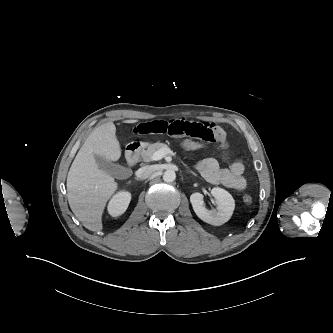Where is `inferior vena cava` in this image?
<instances>
[{
	"label": "inferior vena cava",
	"instance_id": "inferior-vena-cava-1",
	"mask_svg": "<svg viewBox=\"0 0 333 333\" xmlns=\"http://www.w3.org/2000/svg\"><path fill=\"white\" fill-rule=\"evenodd\" d=\"M155 172L156 168L154 166H144L138 170L137 177L144 180L150 178Z\"/></svg>",
	"mask_w": 333,
	"mask_h": 333
}]
</instances>
